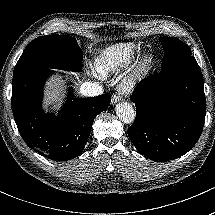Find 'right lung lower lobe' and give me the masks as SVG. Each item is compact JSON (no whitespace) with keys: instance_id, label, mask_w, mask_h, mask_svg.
<instances>
[{"instance_id":"1","label":"right lung lower lobe","mask_w":215,"mask_h":215,"mask_svg":"<svg viewBox=\"0 0 215 215\" xmlns=\"http://www.w3.org/2000/svg\"><path fill=\"white\" fill-rule=\"evenodd\" d=\"M53 71L49 68L25 70L13 76L12 111L26 144L51 160L65 161L79 156L90 135L95 117L110 105L111 95L75 98L58 116L42 111L43 85Z\"/></svg>"}]
</instances>
